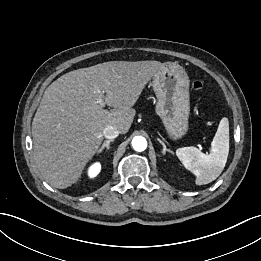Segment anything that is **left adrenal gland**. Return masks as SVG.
<instances>
[{
  "instance_id": "left-adrenal-gland-1",
  "label": "left adrenal gland",
  "mask_w": 261,
  "mask_h": 261,
  "mask_svg": "<svg viewBox=\"0 0 261 261\" xmlns=\"http://www.w3.org/2000/svg\"><path fill=\"white\" fill-rule=\"evenodd\" d=\"M158 141H159V142L161 143V145L163 146V151H162L163 154H166V152H169V153H172V154H173V152H172L170 149H167L165 143H164L162 140H160V139L158 138Z\"/></svg>"
}]
</instances>
